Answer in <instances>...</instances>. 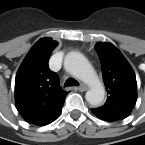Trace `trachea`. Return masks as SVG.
<instances>
[{
  "instance_id": "3493384b",
  "label": "trachea",
  "mask_w": 145,
  "mask_h": 145,
  "mask_svg": "<svg viewBox=\"0 0 145 145\" xmlns=\"http://www.w3.org/2000/svg\"><path fill=\"white\" fill-rule=\"evenodd\" d=\"M79 83L74 80V79H68L65 84H64V87H67V86H78Z\"/></svg>"
}]
</instances>
